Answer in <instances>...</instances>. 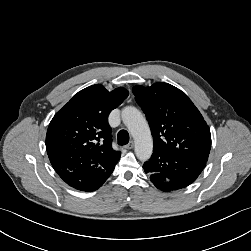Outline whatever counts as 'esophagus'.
<instances>
[{"mask_svg":"<svg viewBox=\"0 0 251 251\" xmlns=\"http://www.w3.org/2000/svg\"><path fill=\"white\" fill-rule=\"evenodd\" d=\"M134 147V142L133 141H131V142H129L127 145H125V148L126 149H132Z\"/></svg>","mask_w":251,"mask_h":251,"instance_id":"34e87169","label":"esophagus"}]
</instances>
